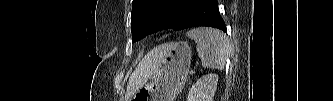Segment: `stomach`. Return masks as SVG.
<instances>
[{
    "instance_id": "0dacf381",
    "label": "stomach",
    "mask_w": 333,
    "mask_h": 101,
    "mask_svg": "<svg viewBox=\"0 0 333 101\" xmlns=\"http://www.w3.org/2000/svg\"><path fill=\"white\" fill-rule=\"evenodd\" d=\"M164 45L161 62L151 81L140 88L130 101H174L182 91L189 72L191 49L187 42Z\"/></svg>"
}]
</instances>
